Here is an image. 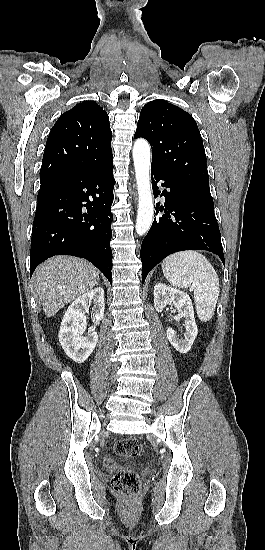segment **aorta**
Listing matches in <instances>:
<instances>
[{"label":"aorta","instance_id":"762f6f07","mask_svg":"<svg viewBox=\"0 0 265 550\" xmlns=\"http://www.w3.org/2000/svg\"><path fill=\"white\" fill-rule=\"evenodd\" d=\"M150 145L145 139H138L133 146V160L138 190V211L136 232L142 236L148 232L153 221V199L150 183Z\"/></svg>","mask_w":265,"mask_h":550}]
</instances>
